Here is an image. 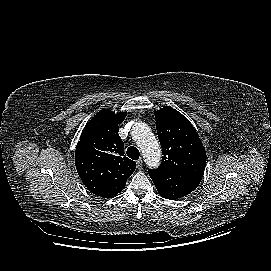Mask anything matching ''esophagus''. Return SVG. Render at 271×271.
I'll return each mask as SVG.
<instances>
[{
  "instance_id": "1",
  "label": "esophagus",
  "mask_w": 271,
  "mask_h": 271,
  "mask_svg": "<svg viewBox=\"0 0 271 271\" xmlns=\"http://www.w3.org/2000/svg\"><path fill=\"white\" fill-rule=\"evenodd\" d=\"M137 169L138 170H141L142 169V166H143V161H142V159H139L138 161H137Z\"/></svg>"
}]
</instances>
